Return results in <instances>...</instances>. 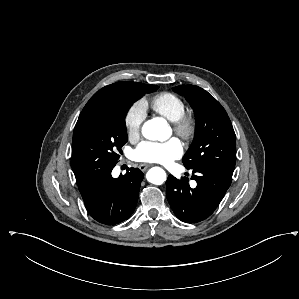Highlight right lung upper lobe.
<instances>
[{"label": "right lung upper lobe", "instance_id": "right-lung-upper-lobe-1", "mask_svg": "<svg viewBox=\"0 0 299 299\" xmlns=\"http://www.w3.org/2000/svg\"><path fill=\"white\" fill-rule=\"evenodd\" d=\"M143 85V83L139 82L126 81L117 82L100 89L85 105L75 127L79 126L91 113H93L107 101L119 96L135 94L140 91Z\"/></svg>", "mask_w": 299, "mask_h": 299}]
</instances>
